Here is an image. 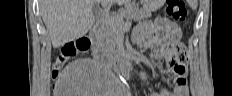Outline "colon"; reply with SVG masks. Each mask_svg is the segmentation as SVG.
<instances>
[{
	"label": "colon",
	"instance_id": "5ec220e1",
	"mask_svg": "<svg viewBox=\"0 0 232 96\" xmlns=\"http://www.w3.org/2000/svg\"><path fill=\"white\" fill-rule=\"evenodd\" d=\"M166 16L168 22H173L177 28L171 30V35H166V39L173 41L178 38L180 34V25L185 23L188 18V12L183 0H167ZM159 22V20H156ZM89 41L86 38H80L75 42H66L60 49L52 68V75L55 78L60 72L64 63L75 57L78 54L85 53L89 48ZM159 51H162L163 56L166 57L174 69L175 73L185 72L186 69L183 64L179 62V58L185 57V52L182 47H179L175 42H172L168 46L162 47Z\"/></svg>",
	"mask_w": 232,
	"mask_h": 96
}]
</instances>
